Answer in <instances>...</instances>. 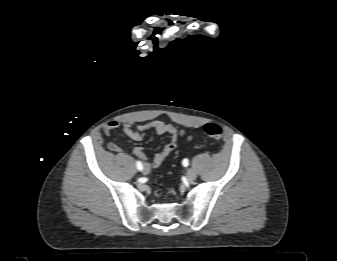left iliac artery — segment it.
<instances>
[{
  "mask_svg": "<svg viewBox=\"0 0 337 261\" xmlns=\"http://www.w3.org/2000/svg\"><path fill=\"white\" fill-rule=\"evenodd\" d=\"M182 165H183L184 167H187V166L189 165L188 159H183Z\"/></svg>",
  "mask_w": 337,
  "mask_h": 261,
  "instance_id": "left-iliac-artery-1",
  "label": "left iliac artery"
}]
</instances>
